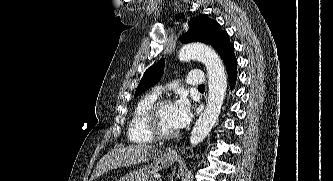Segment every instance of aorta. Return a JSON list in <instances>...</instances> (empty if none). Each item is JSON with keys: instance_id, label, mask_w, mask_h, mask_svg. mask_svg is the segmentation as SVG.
I'll list each match as a JSON object with an SVG mask.
<instances>
[{"instance_id": "1", "label": "aorta", "mask_w": 333, "mask_h": 181, "mask_svg": "<svg viewBox=\"0 0 333 181\" xmlns=\"http://www.w3.org/2000/svg\"><path fill=\"white\" fill-rule=\"evenodd\" d=\"M179 59H196L202 62L208 73V102L205 111L196 121L190 135V144H199L216 123L226 95L225 68L218 54L204 44L185 45L179 52Z\"/></svg>"}]
</instances>
